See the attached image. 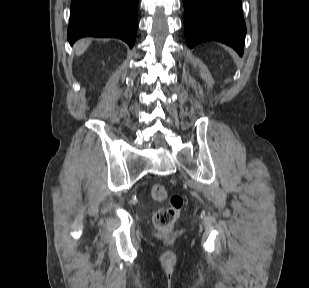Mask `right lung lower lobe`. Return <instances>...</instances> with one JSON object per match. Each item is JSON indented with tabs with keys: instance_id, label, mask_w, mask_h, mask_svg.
Returning a JSON list of instances; mask_svg holds the SVG:
<instances>
[{
	"instance_id": "right-lung-lower-lobe-1",
	"label": "right lung lower lobe",
	"mask_w": 309,
	"mask_h": 288,
	"mask_svg": "<svg viewBox=\"0 0 309 288\" xmlns=\"http://www.w3.org/2000/svg\"><path fill=\"white\" fill-rule=\"evenodd\" d=\"M138 0H72L68 41L85 36L115 37L133 47Z\"/></svg>"
}]
</instances>
